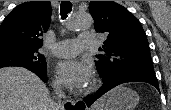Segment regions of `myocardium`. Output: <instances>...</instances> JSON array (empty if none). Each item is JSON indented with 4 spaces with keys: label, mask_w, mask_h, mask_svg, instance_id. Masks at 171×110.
I'll use <instances>...</instances> for the list:
<instances>
[{
    "label": "myocardium",
    "mask_w": 171,
    "mask_h": 110,
    "mask_svg": "<svg viewBox=\"0 0 171 110\" xmlns=\"http://www.w3.org/2000/svg\"><path fill=\"white\" fill-rule=\"evenodd\" d=\"M96 86H97L96 80H92L86 89V93L93 91L96 88Z\"/></svg>",
    "instance_id": "myocardium-1"
}]
</instances>
